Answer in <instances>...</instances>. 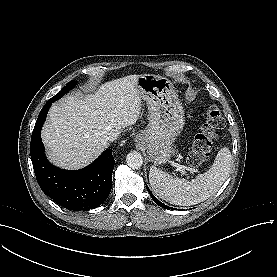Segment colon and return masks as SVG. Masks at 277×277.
I'll use <instances>...</instances> for the list:
<instances>
[{"label": "colon", "instance_id": "obj_1", "mask_svg": "<svg viewBox=\"0 0 277 277\" xmlns=\"http://www.w3.org/2000/svg\"><path fill=\"white\" fill-rule=\"evenodd\" d=\"M224 125L225 121L218 106H208L204 123L194 137L187 155V161L191 167H199L209 159L212 144L217 139Z\"/></svg>", "mask_w": 277, "mask_h": 277}]
</instances>
